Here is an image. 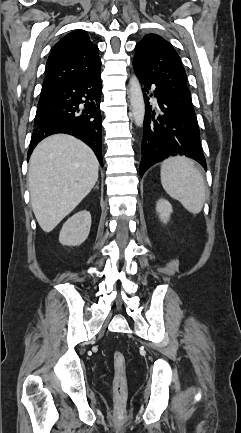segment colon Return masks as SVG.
I'll list each match as a JSON object with an SVG mask.
<instances>
[{"label":"colon","mask_w":241,"mask_h":433,"mask_svg":"<svg viewBox=\"0 0 241 433\" xmlns=\"http://www.w3.org/2000/svg\"><path fill=\"white\" fill-rule=\"evenodd\" d=\"M114 364V393L121 404L126 396L127 392V378H126V359L122 352L115 351L113 354Z\"/></svg>","instance_id":"1"}]
</instances>
